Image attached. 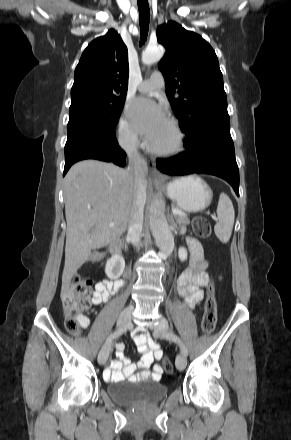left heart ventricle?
<instances>
[{
  "label": "left heart ventricle",
  "mask_w": 291,
  "mask_h": 440,
  "mask_svg": "<svg viewBox=\"0 0 291 440\" xmlns=\"http://www.w3.org/2000/svg\"><path fill=\"white\" fill-rule=\"evenodd\" d=\"M174 142V135L168 123L156 136V138L150 141L151 144L160 148H168Z\"/></svg>",
  "instance_id": "obj_1"
}]
</instances>
